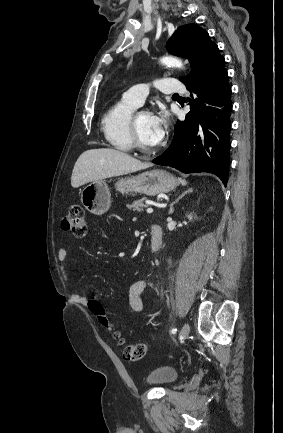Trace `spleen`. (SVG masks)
I'll use <instances>...</instances> for the list:
<instances>
[{"mask_svg":"<svg viewBox=\"0 0 283 433\" xmlns=\"http://www.w3.org/2000/svg\"><path fill=\"white\" fill-rule=\"evenodd\" d=\"M179 182H181V184H187L186 180H184V178H178Z\"/></svg>","mask_w":283,"mask_h":433,"instance_id":"spleen-1","label":"spleen"}]
</instances>
